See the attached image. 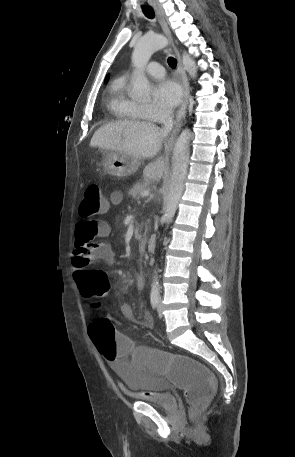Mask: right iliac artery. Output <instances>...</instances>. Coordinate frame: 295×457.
Instances as JSON below:
<instances>
[{"instance_id": "82829eb1", "label": "right iliac artery", "mask_w": 295, "mask_h": 457, "mask_svg": "<svg viewBox=\"0 0 295 457\" xmlns=\"http://www.w3.org/2000/svg\"><path fill=\"white\" fill-rule=\"evenodd\" d=\"M150 301H151L152 307L155 309L157 307V305H158V302H159L158 294H151Z\"/></svg>"}]
</instances>
